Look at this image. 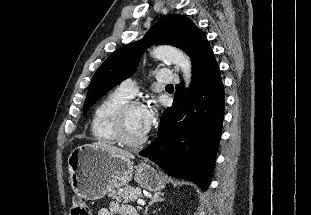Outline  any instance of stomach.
Listing matches in <instances>:
<instances>
[{
    "mask_svg": "<svg viewBox=\"0 0 311 215\" xmlns=\"http://www.w3.org/2000/svg\"><path fill=\"white\" fill-rule=\"evenodd\" d=\"M69 181L73 191L86 200H98L126 186L133 178L151 192L160 191L165 182L149 164L133 166L129 158L112 155L92 144L78 146L68 157Z\"/></svg>",
    "mask_w": 311,
    "mask_h": 215,
    "instance_id": "1",
    "label": "stomach"
}]
</instances>
